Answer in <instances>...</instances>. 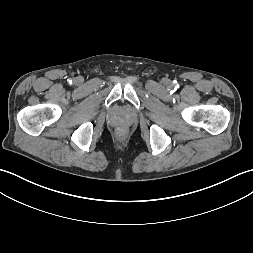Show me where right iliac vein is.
Returning <instances> with one entry per match:
<instances>
[{
    "label": "right iliac vein",
    "mask_w": 253,
    "mask_h": 253,
    "mask_svg": "<svg viewBox=\"0 0 253 253\" xmlns=\"http://www.w3.org/2000/svg\"><path fill=\"white\" fill-rule=\"evenodd\" d=\"M76 81H77V83H81V82H82V78H81V77H78V78L76 79Z\"/></svg>",
    "instance_id": "63e3f726"
}]
</instances>
